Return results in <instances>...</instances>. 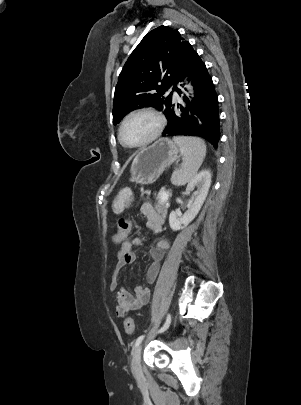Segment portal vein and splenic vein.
<instances>
[{
	"instance_id": "portal-vein-and-splenic-vein-1",
	"label": "portal vein and splenic vein",
	"mask_w": 301,
	"mask_h": 405,
	"mask_svg": "<svg viewBox=\"0 0 301 405\" xmlns=\"http://www.w3.org/2000/svg\"><path fill=\"white\" fill-rule=\"evenodd\" d=\"M160 198L162 201H166L168 199V194L164 190H161Z\"/></svg>"
}]
</instances>
